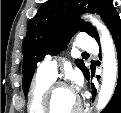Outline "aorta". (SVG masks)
<instances>
[{
    "mask_svg": "<svg viewBox=\"0 0 121 113\" xmlns=\"http://www.w3.org/2000/svg\"><path fill=\"white\" fill-rule=\"evenodd\" d=\"M90 22L98 29L103 53L102 84L98 95L97 110L101 111L110 101L117 80V59L113 40L106 26L92 16Z\"/></svg>",
    "mask_w": 121,
    "mask_h": 113,
    "instance_id": "1",
    "label": "aorta"
}]
</instances>
